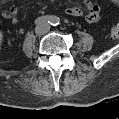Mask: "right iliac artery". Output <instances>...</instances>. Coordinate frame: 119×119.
<instances>
[{
    "mask_svg": "<svg viewBox=\"0 0 119 119\" xmlns=\"http://www.w3.org/2000/svg\"><path fill=\"white\" fill-rule=\"evenodd\" d=\"M56 17L54 16H41V17H38L36 20H35V25H40V24H44V23H50V24H53V22L56 21Z\"/></svg>",
    "mask_w": 119,
    "mask_h": 119,
    "instance_id": "right-iliac-artery-1",
    "label": "right iliac artery"
}]
</instances>
